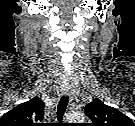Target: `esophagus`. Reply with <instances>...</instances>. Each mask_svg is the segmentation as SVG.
<instances>
[{
	"mask_svg": "<svg viewBox=\"0 0 135 126\" xmlns=\"http://www.w3.org/2000/svg\"><path fill=\"white\" fill-rule=\"evenodd\" d=\"M64 94L69 97V103L71 107H75L78 103L76 96L73 93L71 86L66 87Z\"/></svg>",
	"mask_w": 135,
	"mask_h": 126,
	"instance_id": "obj_1",
	"label": "esophagus"
}]
</instances>
